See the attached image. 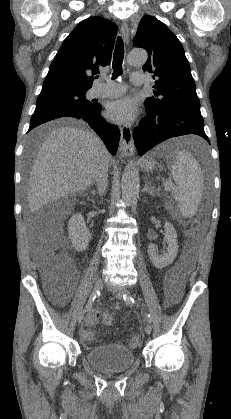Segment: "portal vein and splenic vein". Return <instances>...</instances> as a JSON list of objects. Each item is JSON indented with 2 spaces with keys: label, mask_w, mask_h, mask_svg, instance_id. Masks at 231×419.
Returning <instances> with one entry per match:
<instances>
[{
  "label": "portal vein and splenic vein",
  "mask_w": 231,
  "mask_h": 419,
  "mask_svg": "<svg viewBox=\"0 0 231 419\" xmlns=\"http://www.w3.org/2000/svg\"><path fill=\"white\" fill-rule=\"evenodd\" d=\"M165 184H166V189H167V190H170V189H171V187H172V185H169L167 182H165Z\"/></svg>",
  "instance_id": "portal-vein-and-splenic-vein-1"
}]
</instances>
